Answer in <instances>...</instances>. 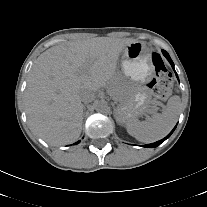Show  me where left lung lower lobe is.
<instances>
[{"label": "left lung lower lobe", "mask_w": 207, "mask_h": 207, "mask_svg": "<svg viewBox=\"0 0 207 207\" xmlns=\"http://www.w3.org/2000/svg\"><path fill=\"white\" fill-rule=\"evenodd\" d=\"M162 53H163V55L167 58V60L169 61V63L171 64V66H172V68H173V70H174V63H173V61L171 60V58H170V56H169V54L165 51V50H162ZM175 71V70H174ZM176 76H177V74H176ZM177 78H178V76H177ZM175 128H176V126H175ZM175 128L164 138V139H162V140H160V141H157V142H155V143H152V144H147V145H144V147H150V148H154V147H157L158 145H160L162 142H164L172 133H173V131L175 130Z\"/></svg>", "instance_id": "left-lung-lower-lobe-1"}]
</instances>
